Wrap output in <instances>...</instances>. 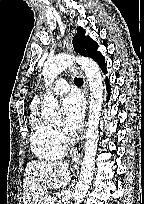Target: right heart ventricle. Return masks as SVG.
Here are the masks:
<instances>
[{"label":"right heart ventricle","mask_w":144,"mask_h":204,"mask_svg":"<svg viewBox=\"0 0 144 204\" xmlns=\"http://www.w3.org/2000/svg\"><path fill=\"white\" fill-rule=\"evenodd\" d=\"M30 146L34 155L43 161L58 160L63 154L54 128L36 108L32 109L30 116Z\"/></svg>","instance_id":"1"}]
</instances>
